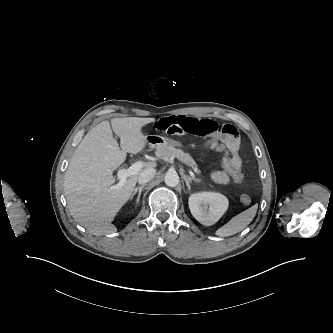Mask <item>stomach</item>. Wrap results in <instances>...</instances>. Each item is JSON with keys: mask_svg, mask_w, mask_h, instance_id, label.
<instances>
[{"mask_svg": "<svg viewBox=\"0 0 333 333\" xmlns=\"http://www.w3.org/2000/svg\"><path fill=\"white\" fill-rule=\"evenodd\" d=\"M147 142L152 146V147H162L166 145H174V146H180L179 142L173 141L169 137H164V136H148L147 137Z\"/></svg>", "mask_w": 333, "mask_h": 333, "instance_id": "stomach-1", "label": "stomach"}]
</instances>
